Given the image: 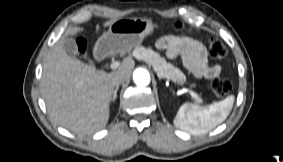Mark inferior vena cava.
Instances as JSON below:
<instances>
[{"mask_svg":"<svg viewBox=\"0 0 283 162\" xmlns=\"http://www.w3.org/2000/svg\"><path fill=\"white\" fill-rule=\"evenodd\" d=\"M124 80L125 77L123 75H115L112 79V83L116 86H119Z\"/></svg>","mask_w":283,"mask_h":162,"instance_id":"inferior-vena-cava-1","label":"inferior vena cava"}]
</instances>
